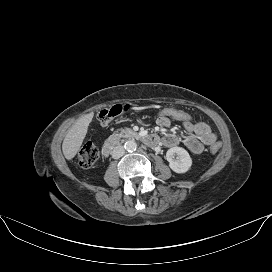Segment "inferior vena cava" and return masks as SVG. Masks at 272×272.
<instances>
[{"instance_id":"obj_1","label":"inferior vena cava","mask_w":272,"mask_h":272,"mask_svg":"<svg viewBox=\"0 0 272 272\" xmlns=\"http://www.w3.org/2000/svg\"><path fill=\"white\" fill-rule=\"evenodd\" d=\"M125 153V149L123 146L118 145L116 147H114L113 151H112V158L114 159H119L120 157H122Z\"/></svg>"}]
</instances>
